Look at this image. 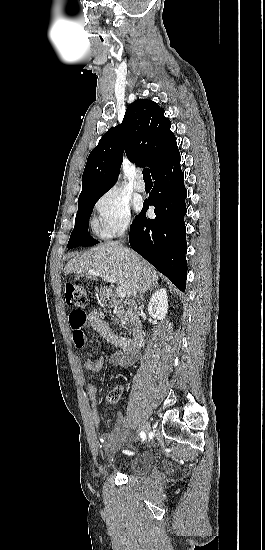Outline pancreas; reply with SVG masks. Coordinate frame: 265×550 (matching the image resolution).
<instances>
[{"instance_id": "pancreas-1", "label": "pancreas", "mask_w": 265, "mask_h": 550, "mask_svg": "<svg viewBox=\"0 0 265 550\" xmlns=\"http://www.w3.org/2000/svg\"><path fill=\"white\" fill-rule=\"evenodd\" d=\"M115 314L119 318L121 325H129L134 322L136 319L135 312L127 306L121 305L117 309H115Z\"/></svg>"}]
</instances>
